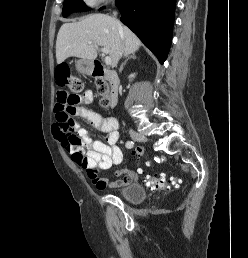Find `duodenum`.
Returning a JSON list of instances; mask_svg holds the SVG:
<instances>
[{
    "label": "duodenum",
    "mask_w": 248,
    "mask_h": 258,
    "mask_svg": "<svg viewBox=\"0 0 248 258\" xmlns=\"http://www.w3.org/2000/svg\"><path fill=\"white\" fill-rule=\"evenodd\" d=\"M92 76L95 79L104 78L110 84L109 101L111 108H115L118 102L119 78L115 71L103 68L99 60H95L92 64Z\"/></svg>",
    "instance_id": "obj_1"
}]
</instances>
